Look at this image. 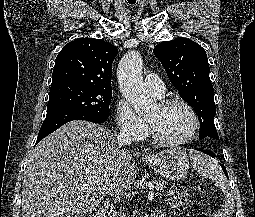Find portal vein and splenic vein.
<instances>
[{
  "label": "portal vein and splenic vein",
  "mask_w": 255,
  "mask_h": 217,
  "mask_svg": "<svg viewBox=\"0 0 255 217\" xmlns=\"http://www.w3.org/2000/svg\"><path fill=\"white\" fill-rule=\"evenodd\" d=\"M153 196H154V192L153 190H150V192L148 193V200H152Z\"/></svg>",
  "instance_id": "obj_1"
}]
</instances>
